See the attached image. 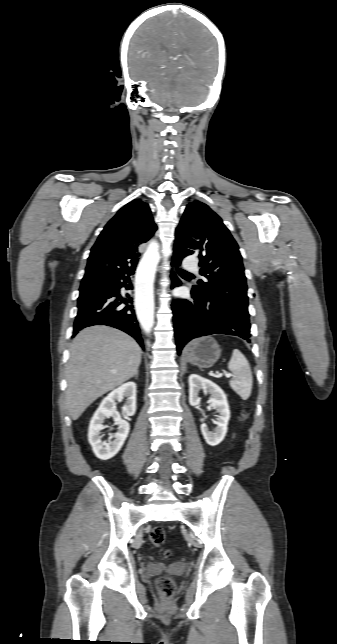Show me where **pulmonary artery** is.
Here are the masks:
<instances>
[{
    "label": "pulmonary artery",
    "mask_w": 337,
    "mask_h": 644,
    "mask_svg": "<svg viewBox=\"0 0 337 644\" xmlns=\"http://www.w3.org/2000/svg\"><path fill=\"white\" fill-rule=\"evenodd\" d=\"M183 267L186 270L192 271V272H196L198 270L197 262L192 257L185 258V260L183 262Z\"/></svg>",
    "instance_id": "pulmonary-artery-1"
}]
</instances>
